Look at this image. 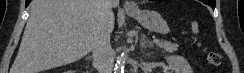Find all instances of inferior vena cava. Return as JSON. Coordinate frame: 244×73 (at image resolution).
Masks as SVG:
<instances>
[{"label":"inferior vena cava","instance_id":"inferior-vena-cava-1","mask_svg":"<svg viewBox=\"0 0 244 73\" xmlns=\"http://www.w3.org/2000/svg\"><path fill=\"white\" fill-rule=\"evenodd\" d=\"M116 1L105 0V9L111 11ZM93 63L98 73H112L114 64L113 50L110 44V32L103 26L96 35L93 46Z\"/></svg>","mask_w":244,"mask_h":73}]
</instances>
